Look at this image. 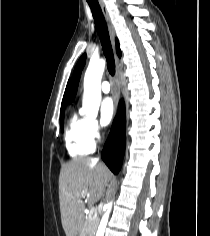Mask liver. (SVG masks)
<instances>
[{
    "mask_svg": "<svg viewBox=\"0 0 210 236\" xmlns=\"http://www.w3.org/2000/svg\"><path fill=\"white\" fill-rule=\"evenodd\" d=\"M110 170L91 158H77L62 165L59 201L62 227L66 236H77L84 227V201L97 202L111 179ZM82 236V235H79Z\"/></svg>",
    "mask_w": 210,
    "mask_h": 236,
    "instance_id": "1",
    "label": "liver"
}]
</instances>
